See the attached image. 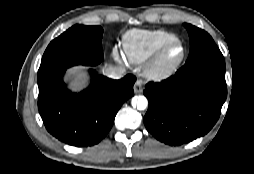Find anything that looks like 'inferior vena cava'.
I'll return each instance as SVG.
<instances>
[{"label":"inferior vena cava","mask_w":254,"mask_h":174,"mask_svg":"<svg viewBox=\"0 0 254 174\" xmlns=\"http://www.w3.org/2000/svg\"><path fill=\"white\" fill-rule=\"evenodd\" d=\"M125 72V67L123 66H114L107 68L105 70V73L108 75L111 79H120Z\"/></svg>","instance_id":"1"}]
</instances>
